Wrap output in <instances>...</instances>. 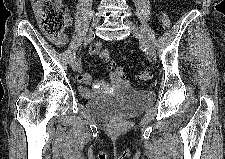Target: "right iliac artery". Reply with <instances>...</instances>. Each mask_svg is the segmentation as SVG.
<instances>
[{"instance_id": "obj_1", "label": "right iliac artery", "mask_w": 225, "mask_h": 159, "mask_svg": "<svg viewBox=\"0 0 225 159\" xmlns=\"http://www.w3.org/2000/svg\"><path fill=\"white\" fill-rule=\"evenodd\" d=\"M95 37V34L94 32H91L89 33L85 38H84V41H83V45L86 46L88 45ZM76 59V55L74 54V56L72 57L71 59V64H73V62L75 61Z\"/></svg>"}]
</instances>
